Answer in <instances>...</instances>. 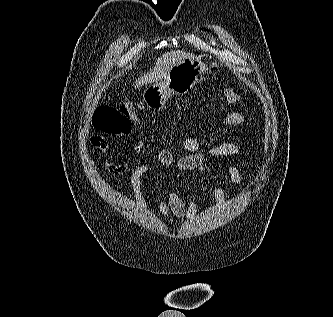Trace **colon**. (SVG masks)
<instances>
[{"mask_svg":"<svg viewBox=\"0 0 333 317\" xmlns=\"http://www.w3.org/2000/svg\"><path fill=\"white\" fill-rule=\"evenodd\" d=\"M224 98L229 104L240 99V95L231 89L224 91ZM134 106L130 102L120 106H99L93 113L92 125L99 132L127 136L131 133L133 124L138 122Z\"/></svg>","mask_w":333,"mask_h":317,"instance_id":"1","label":"colon"}]
</instances>
